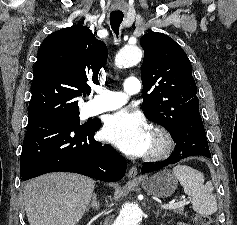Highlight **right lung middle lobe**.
<instances>
[{"instance_id": "obj_1", "label": "right lung middle lobe", "mask_w": 237, "mask_h": 225, "mask_svg": "<svg viewBox=\"0 0 237 225\" xmlns=\"http://www.w3.org/2000/svg\"><path fill=\"white\" fill-rule=\"evenodd\" d=\"M50 119L62 120V121L69 122V123H72V124L80 126V123H79V112L61 114V115L54 116V117H52Z\"/></svg>"}]
</instances>
